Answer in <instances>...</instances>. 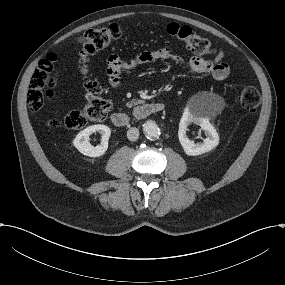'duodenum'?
Segmentation results:
<instances>
[{
  "mask_svg": "<svg viewBox=\"0 0 285 285\" xmlns=\"http://www.w3.org/2000/svg\"><path fill=\"white\" fill-rule=\"evenodd\" d=\"M165 109L166 105L161 102L143 103L134 111V117L136 119H144L151 114L163 112ZM111 121L116 127L124 128L129 125L130 118L125 112H114L111 114Z\"/></svg>",
  "mask_w": 285,
  "mask_h": 285,
  "instance_id": "410a0bca",
  "label": "duodenum"
}]
</instances>
